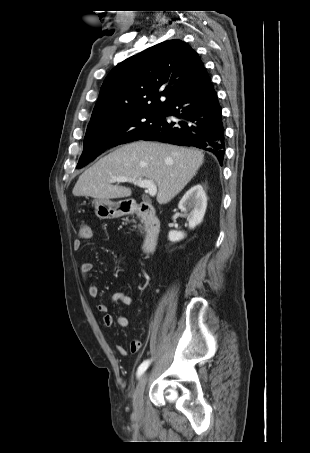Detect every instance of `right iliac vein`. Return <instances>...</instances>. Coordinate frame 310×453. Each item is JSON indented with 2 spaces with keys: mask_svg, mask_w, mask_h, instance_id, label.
<instances>
[{
  "mask_svg": "<svg viewBox=\"0 0 310 453\" xmlns=\"http://www.w3.org/2000/svg\"><path fill=\"white\" fill-rule=\"evenodd\" d=\"M147 383V373H144L137 385V388L134 393V399H133V407H134V413L136 415H141L143 412V396H144V390L145 386Z\"/></svg>",
  "mask_w": 310,
  "mask_h": 453,
  "instance_id": "obj_1",
  "label": "right iliac vein"
}]
</instances>
